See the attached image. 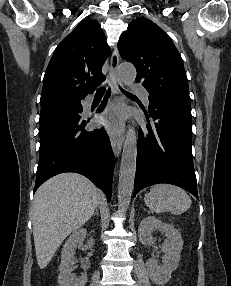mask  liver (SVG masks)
I'll return each instance as SVG.
<instances>
[{
    "label": "liver",
    "instance_id": "liver-1",
    "mask_svg": "<svg viewBox=\"0 0 231 286\" xmlns=\"http://www.w3.org/2000/svg\"><path fill=\"white\" fill-rule=\"evenodd\" d=\"M97 204V188L77 173L59 174L38 188L31 218L40 269L49 264L64 239L91 218Z\"/></svg>",
    "mask_w": 231,
    "mask_h": 286
}]
</instances>
